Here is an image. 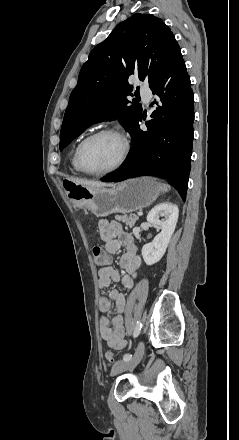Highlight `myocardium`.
<instances>
[{
    "mask_svg": "<svg viewBox=\"0 0 239 440\" xmlns=\"http://www.w3.org/2000/svg\"><path fill=\"white\" fill-rule=\"evenodd\" d=\"M105 134L117 136L121 140L122 146H123L121 157H120L119 161L117 162V164L110 169H107L104 171H99V172L89 171L85 168V166L83 164V160H82L83 148L90 140H92L98 136L105 135ZM129 152H130V142H129L127 136L124 134V132H122L121 130H119L117 128H113V127H103V128H100L96 131L91 132L90 134L85 136L80 141V143L78 144L77 150H76V163H77L79 170L85 175L93 176V177L110 175L112 173L117 172L119 169H121L123 167V165L125 164L128 156H129Z\"/></svg>",
    "mask_w": 239,
    "mask_h": 440,
    "instance_id": "1",
    "label": "myocardium"
}]
</instances>
